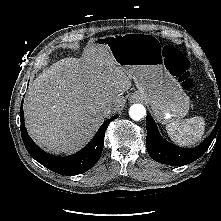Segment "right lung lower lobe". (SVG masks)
I'll return each mask as SVG.
<instances>
[{"instance_id": "1", "label": "right lung lower lobe", "mask_w": 221, "mask_h": 221, "mask_svg": "<svg viewBox=\"0 0 221 221\" xmlns=\"http://www.w3.org/2000/svg\"><path fill=\"white\" fill-rule=\"evenodd\" d=\"M23 100L20 107L21 135L24 145L29 154L40 164L61 175L74 176L86 172L99 160L103 150L105 131L111 121L118 118V115L107 119L99 128L93 139L79 152L59 157L44 152L29 137L24 123Z\"/></svg>"}]
</instances>
